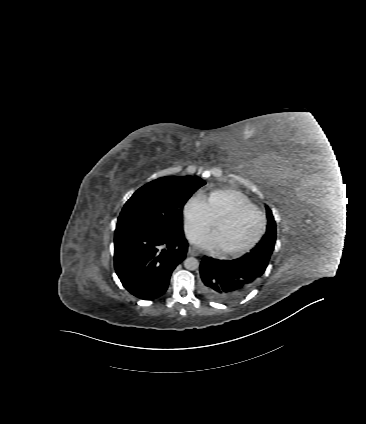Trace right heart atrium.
Returning a JSON list of instances; mask_svg holds the SVG:
<instances>
[{
    "instance_id": "1",
    "label": "right heart atrium",
    "mask_w": 366,
    "mask_h": 424,
    "mask_svg": "<svg viewBox=\"0 0 366 424\" xmlns=\"http://www.w3.org/2000/svg\"><path fill=\"white\" fill-rule=\"evenodd\" d=\"M183 228L189 241L196 240L208 233L211 221L205 203L199 195L190 197L182 207Z\"/></svg>"
}]
</instances>
